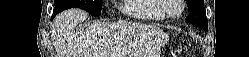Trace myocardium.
<instances>
[{"instance_id": "1", "label": "myocardium", "mask_w": 249, "mask_h": 57, "mask_svg": "<svg viewBox=\"0 0 249 57\" xmlns=\"http://www.w3.org/2000/svg\"><path fill=\"white\" fill-rule=\"evenodd\" d=\"M177 4L179 5V12L176 15H171L169 13V9L172 5V0H161L160 8L164 16L168 19H177L180 18L185 9V1L184 0H176Z\"/></svg>"}]
</instances>
